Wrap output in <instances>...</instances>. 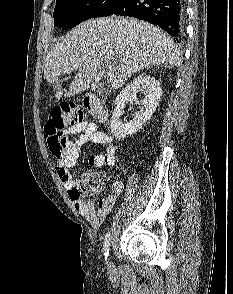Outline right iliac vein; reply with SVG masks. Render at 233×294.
I'll return each mask as SVG.
<instances>
[{"label": "right iliac vein", "instance_id": "1", "mask_svg": "<svg viewBox=\"0 0 233 294\" xmlns=\"http://www.w3.org/2000/svg\"><path fill=\"white\" fill-rule=\"evenodd\" d=\"M107 265H108L109 268H112L113 267V264L110 261V258H108V260H107Z\"/></svg>", "mask_w": 233, "mask_h": 294}]
</instances>
